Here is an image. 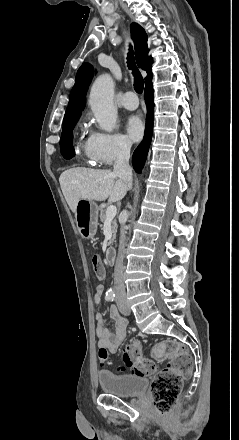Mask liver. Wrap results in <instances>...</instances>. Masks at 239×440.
<instances>
[{"mask_svg": "<svg viewBox=\"0 0 239 440\" xmlns=\"http://www.w3.org/2000/svg\"><path fill=\"white\" fill-rule=\"evenodd\" d=\"M111 170L71 168L59 178L63 196L72 212H76L79 200L120 202L128 190L127 184Z\"/></svg>", "mask_w": 239, "mask_h": 440, "instance_id": "obj_1", "label": "liver"}]
</instances>
